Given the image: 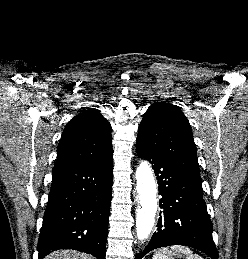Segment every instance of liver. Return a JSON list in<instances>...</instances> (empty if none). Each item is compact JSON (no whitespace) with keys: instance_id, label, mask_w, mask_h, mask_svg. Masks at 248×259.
Segmentation results:
<instances>
[{"instance_id":"1","label":"liver","mask_w":248,"mask_h":259,"mask_svg":"<svg viewBox=\"0 0 248 259\" xmlns=\"http://www.w3.org/2000/svg\"><path fill=\"white\" fill-rule=\"evenodd\" d=\"M44 259H93V257L73 250H60L50 253Z\"/></svg>"}]
</instances>
